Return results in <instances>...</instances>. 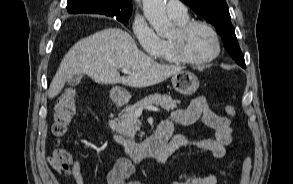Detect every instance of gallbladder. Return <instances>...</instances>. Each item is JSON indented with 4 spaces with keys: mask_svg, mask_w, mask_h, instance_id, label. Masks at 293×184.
I'll return each instance as SVG.
<instances>
[{
    "mask_svg": "<svg viewBox=\"0 0 293 184\" xmlns=\"http://www.w3.org/2000/svg\"><path fill=\"white\" fill-rule=\"evenodd\" d=\"M82 75L78 74V75H73L69 80H68V83L69 85L71 86H75L77 84L80 83L81 79H82Z\"/></svg>",
    "mask_w": 293,
    "mask_h": 184,
    "instance_id": "bac80fb5",
    "label": "gallbladder"
}]
</instances>
